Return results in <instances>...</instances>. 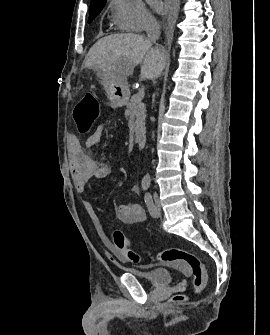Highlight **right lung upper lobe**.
<instances>
[{
  "instance_id": "obj_1",
  "label": "right lung upper lobe",
  "mask_w": 270,
  "mask_h": 335,
  "mask_svg": "<svg viewBox=\"0 0 270 335\" xmlns=\"http://www.w3.org/2000/svg\"><path fill=\"white\" fill-rule=\"evenodd\" d=\"M107 0H91L90 5H96V4H100V3H104Z\"/></svg>"
}]
</instances>
